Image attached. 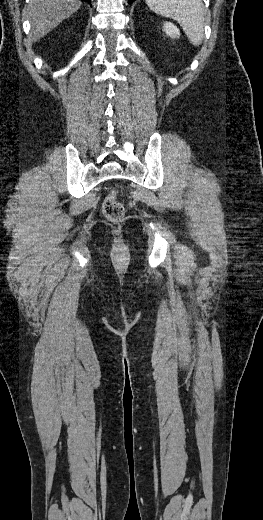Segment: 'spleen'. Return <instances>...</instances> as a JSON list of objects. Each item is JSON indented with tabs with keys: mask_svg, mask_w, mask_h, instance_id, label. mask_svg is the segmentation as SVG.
<instances>
[{
	"mask_svg": "<svg viewBox=\"0 0 263 520\" xmlns=\"http://www.w3.org/2000/svg\"><path fill=\"white\" fill-rule=\"evenodd\" d=\"M157 14L176 20L195 45H201L204 37V7L201 0H145Z\"/></svg>",
	"mask_w": 263,
	"mask_h": 520,
	"instance_id": "spleen-1",
	"label": "spleen"
}]
</instances>
